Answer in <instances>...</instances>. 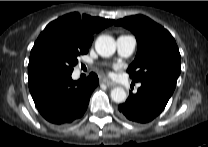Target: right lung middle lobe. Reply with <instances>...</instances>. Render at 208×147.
<instances>
[{
  "instance_id": "1",
  "label": "right lung middle lobe",
  "mask_w": 208,
  "mask_h": 147,
  "mask_svg": "<svg viewBox=\"0 0 208 147\" xmlns=\"http://www.w3.org/2000/svg\"><path fill=\"white\" fill-rule=\"evenodd\" d=\"M88 50L71 43H54L39 54L37 67L40 74H70L78 63V57Z\"/></svg>"
}]
</instances>
